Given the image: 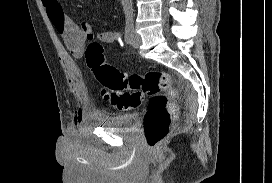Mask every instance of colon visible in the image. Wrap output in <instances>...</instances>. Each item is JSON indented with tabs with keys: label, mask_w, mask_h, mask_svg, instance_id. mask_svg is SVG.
Segmentation results:
<instances>
[{
	"label": "colon",
	"mask_w": 272,
	"mask_h": 183,
	"mask_svg": "<svg viewBox=\"0 0 272 183\" xmlns=\"http://www.w3.org/2000/svg\"><path fill=\"white\" fill-rule=\"evenodd\" d=\"M87 65L100 85L102 97L119 110L138 107L144 95L150 97L144 119V134L150 147L160 144L169 134L177 116V90L167 72L149 71L127 74L107 64L103 47L90 43L85 51Z\"/></svg>",
	"instance_id": "obj_1"
}]
</instances>
